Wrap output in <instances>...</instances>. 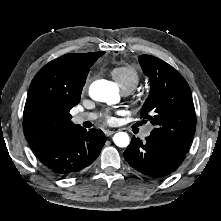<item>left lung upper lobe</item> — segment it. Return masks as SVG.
I'll return each mask as SVG.
<instances>
[{
  "label": "left lung upper lobe",
  "instance_id": "1",
  "mask_svg": "<svg viewBox=\"0 0 221 221\" xmlns=\"http://www.w3.org/2000/svg\"><path fill=\"white\" fill-rule=\"evenodd\" d=\"M143 72L150 79V93L141 118L154 126L151 135L187 153L191 146L196 114L190 87L172 66L151 55L139 56Z\"/></svg>",
  "mask_w": 221,
  "mask_h": 221
}]
</instances>
